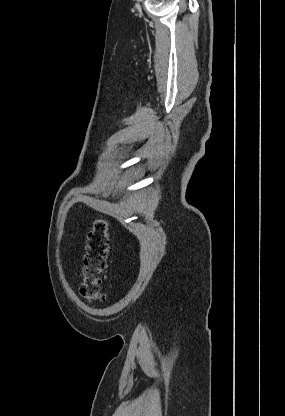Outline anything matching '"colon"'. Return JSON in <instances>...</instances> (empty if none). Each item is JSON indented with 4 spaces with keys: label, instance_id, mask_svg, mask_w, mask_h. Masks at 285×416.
Returning <instances> with one entry per match:
<instances>
[{
    "label": "colon",
    "instance_id": "colon-1",
    "mask_svg": "<svg viewBox=\"0 0 285 416\" xmlns=\"http://www.w3.org/2000/svg\"><path fill=\"white\" fill-rule=\"evenodd\" d=\"M109 253L108 224L104 220H97L87 236L83 258V282L80 287V294L89 301L97 302L105 298L101 290V284L105 277Z\"/></svg>",
    "mask_w": 285,
    "mask_h": 416
}]
</instances>
